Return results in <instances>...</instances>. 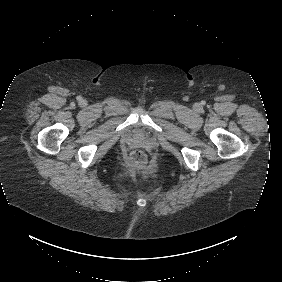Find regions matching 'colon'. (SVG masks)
Returning <instances> with one entry per match:
<instances>
[{
  "label": "colon",
  "instance_id": "colon-1",
  "mask_svg": "<svg viewBox=\"0 0 282 282\" xmlns=\"http://www.w3.org/2000/svg\"><path fill=\"white\" fill-rule=\"evenodd\" d=\"M131 166L137 172H144L150 166V158L146 149L137 147L130 154Z\"/></svg>",
  "mask_w": 282,
  "mask_h": 282
}]
</instances>
